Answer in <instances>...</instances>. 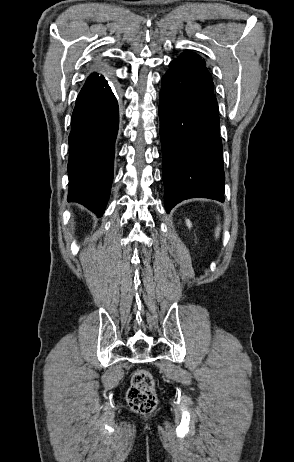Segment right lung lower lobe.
<instances>
[{
	"label": "right lung lower lobe",
	"mask_w": 294,
	"mask_h": 462,
	"mask_svg": "<svg viewBox=\"0 0 294 462\" xmlns=\"http://www.w3.org/2000/svg\"><path fill=\"white\" fill-rule=\"evenodd\" d=\"M118 126V103L108 81L86 80L71 118L68 200L98 217L110 194Z\"/></svg>",
	"instance_id": "right-lung-lower-lobe-1"
}]
</instances>
